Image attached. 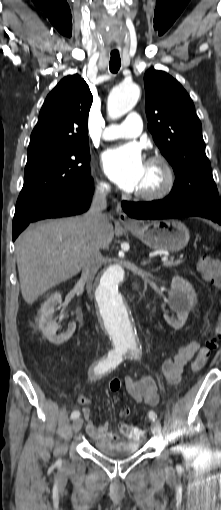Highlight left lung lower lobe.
Returning <instances> with one entry per match:
<instances>
[{"label": "left lung lower lobe", "instance_id": "left-lung-lower-lobe-1", "mask_svg": "<svg viewBox=\"0 0 221 510\" xmlns=\"http://www.w3.org/2000/svg\"><path fill=\"white\" fill-rule=\"evenodd\" d=\"M123 210L137 219H167L199 216L211 219L221 225V205L208 203H183L168 201L166 198L152 202H122Z\"/></svg>", "mask_w": 221, "mask_h": 510}]
</instances>
